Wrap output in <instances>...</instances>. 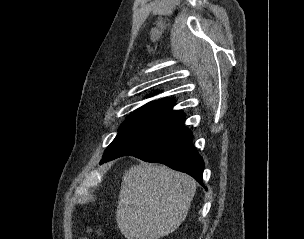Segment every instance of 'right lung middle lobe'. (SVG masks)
Returning <instances> with one entry per match:
<instances>
[{"label": "right lung middle lobe", "instance_id": "obj_1", "mask_svg": "<svg viewBox=\"0 0 304 239\" xmlns=\"http://www.w3.org/2000/svg\"><path fill=\"white\" fill-rule=\"evenodd\" d=\"M167 122L169 121L164 118L143 113H131L121 125L115 139L107 147L104 156L161 127Z\"/></svg>", "mask_w": 304, "mask_h": 239}]
</instances>
